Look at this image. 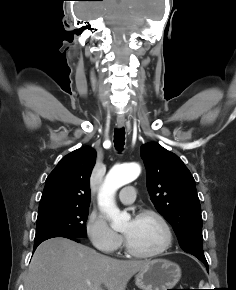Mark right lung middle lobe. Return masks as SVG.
<instances>
[{"instance_id": "dd1d6c3e", "label": "right lung middle lobe", "mask_w": 236, "mask_h": 290, "mask_svg": "<svg viewBox=\"0 0 236 290\" xmlns=\"http://www.w3.org/2000/svg\"><path fill=\"white\" fill-rule=\"evenodd\" d=\"M88 207L51 206L38 210L34 243L53 237L85 238Z\"/></svg>"}]
</instances>
